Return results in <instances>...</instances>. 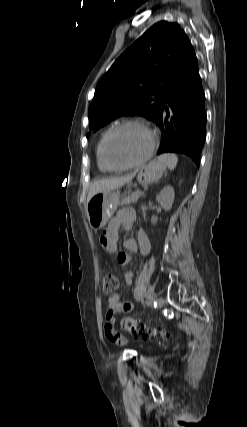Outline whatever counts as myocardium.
Returning <instances> with one entry per match:
<instances>
[{
    "label": "myocardium",
    "instance_id": "f54148a6",
    "mask_svg": "<svg viewBox=\"0 0 247 427\" xmlns=\"http://www.w3.org/2000/svg\"><path fill=\"white\" fill-rule=\"evenodd\" d=\"M129 126L140 127V128L145 129L146 131H148V133L151 135V144H150V147H149L147 153L142 158H140L139 160L132 162V163H129V164H125V165H116L109 158L108 144H109L110 139L112 138V136L115 133H117L121 129L129 127ZM158 140H159L158 132L149 124H147L143 121H139V120H126V121H123V122L115 125L105 135L103 142H102V158H103L105 164L112 171H122V170L130 169V168H134V167L143 165L152 157V155L156 149V146L158 144Z\"/></svg>",
    "mask_w": 247,
    "mask_h": 427
}]
</instances>
